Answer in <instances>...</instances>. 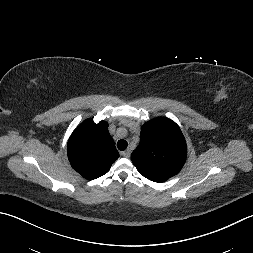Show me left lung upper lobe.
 I'll return each mask as SVG.
<instances>
[{"label": "left lung upper lobe", "instance_id": "5c2ea615", "mask_svg": "<svg viewBox=\"0 0 253 253\" xmlns=\"http://www.w3.org/2000/svg\"><path fill=\"white\" fill-rule=\"evenodd\" d=\"M187 145L179 126L164 117L142 126L140 144L131 159L141 175L154 182H164L183 167Z\"/></svg>", "mask_w": 253, "mask_h": 253}]
</instances>
